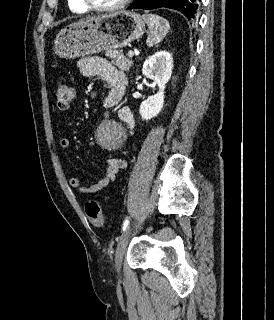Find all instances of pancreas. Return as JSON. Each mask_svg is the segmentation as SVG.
Masks as SVG:
<instances>
[{
    "mask_svg": "<svg viewBox=\"0 0 274 320\" xmlns=\"http://www.w3.org/2000/svg\"><path fill=\"white\" fill-rule=\"evenodd\" d=\"M105 56H108V58H111L112 64L114 66H117L121 72H129V68H131L133 62L131 58H125L122 50H106Z\"/></svg>",
    "mask_w": 274,
    "mask_h": 320,
    "instance_id": "1",
    "label": "pancreas"
}]
</instances>
